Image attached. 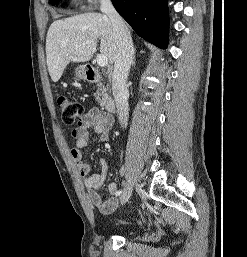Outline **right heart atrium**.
<instances>
[{"mask_svg":"<svg viewBox=\"0 0 247 257\" xmlns=\"http://www.w3.org/2000/svg\"><path fill=\"white\" fill-rule=\"evenodd\" d=\"M75 1L80 4L87 5V6H93V5H96L97 3H99L101 0H75Z\"/></svg>","mask_w":247,"mask_h":257,"instance_id":"d8ad5b80","label":"right heart atrium"}]
</instances>
